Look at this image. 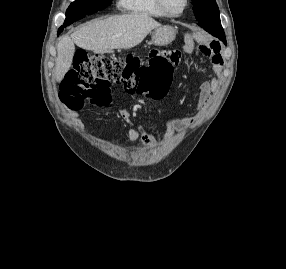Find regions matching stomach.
<instances>
[{"label": "stomach", "mask_w": 286, "mask_h": 269, "mask_svg": "<svg viewBox=\"0 0 286 269\" xmlns=\"http://www.w3.org/2000/svg\"><path fill=\"white\" fill-rule=\"evenodd\" d=\"M176 36V31L171 26H160L152 33V43L157 46H163L171 43Z\"/></svg>", "instance_id": "0dacf381"}]
</instances>
